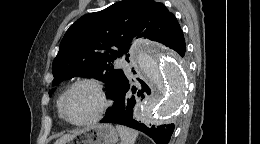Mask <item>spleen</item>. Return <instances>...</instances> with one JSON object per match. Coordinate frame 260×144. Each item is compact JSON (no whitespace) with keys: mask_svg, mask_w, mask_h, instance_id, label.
I'll return each mask as SVG.
<instances>
[{"mask_svg":"<svg viewBox=\"0 0 260 144\" xmlns=\"http://www.w3.org/2000/svg\"><path fill=\"white\" fill-rule=\"evenodd\" d=\"M116 129L121 138V144H134L138 137V132L125 126L117 125Z\"/></svg>","mask_w":260,"mask_h":144,"instance_id":"obj_1","label":"spleen"}]
</instances>
